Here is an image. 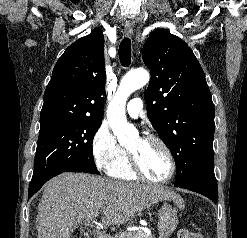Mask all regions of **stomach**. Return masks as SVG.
Instances as JSON below:
<instances>
[{
	"mask_svg": "<svg viewBox=\"0 0 247 238\" xmlns=\"http://www.w3.org/2000/svg\"><path fill=\"white\" fill-rule=\"evenodd\" d=\"M178 224L177 212L171 205L164 203L159 210L158 232L159 238H169Z\"/></svg>",
	"mask_w": 247,
	"mask_h": 238,
	"instance_id": "0dacf381",
	"label": "stomach"
}]
</instances>
